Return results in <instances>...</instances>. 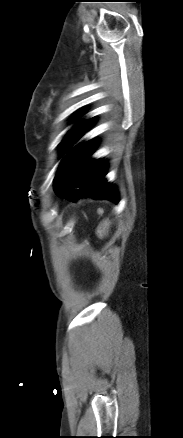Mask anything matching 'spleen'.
Wrapping results in <instances>:
<instances>
[{"label": "spleen", "instance_id": "spleen-1", "mask_svg": "<svg viewBox=\"0 0 183 438\" xmlns=\"http://www.w3.org/2000/svg\"><path fill=\"white\" fill-rule=\"evenodd\" d=\"M108 229H109V222L108 220H104L97 228L96 231L97 236L100 239H102L108 233Z\"/></svg>", "mask_w": 183, "mask_h": 438}]
</instances>
